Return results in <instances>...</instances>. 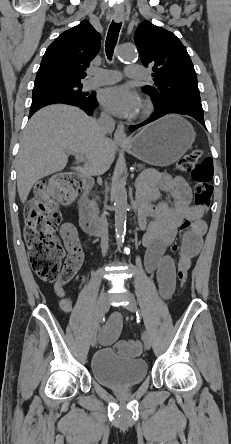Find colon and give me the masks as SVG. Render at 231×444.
<instances>
[{
  "instance_id": "obj_1",
  "label": "colon",
  "mask_w": 231,
  "mask_h": 444,
  "mask_svg": "<svg viewBox=\"0 0 231 444\" xmlns=\"http://www.w3.org/2000/svg\"><path fill=\"white\" fill-rule=\"evenodd\" d=\"M177 168L191 175L194 181L195 203L207 207L211 201L213 177L212 162L203 158V151L193 149L177 162ZM83 189L82 178L76 174H56L47 178L32 199L25 219L24 238L28 247L32 269L40 279L54 283L62 288L76 274L82 262L83 254L79 251L65 250L55 235L61 222L59 206L72 202ZM189 222L181 225V231L190 228ZM178 246H173L177 251ZM177 277L181 285L187 281V270H178ZM132 353H139L138 341L126 345Z\"/></svg>"
}]
</instances>
